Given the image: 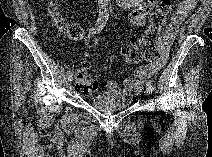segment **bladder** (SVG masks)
Segmentation results:
<instances>
[{
	"label": "bladder",
	"instance_id": "bladder-1",
	"mask_svg": "<svg viewBox=\"0 0 212 157\" xmlns=\"http://www.w3.org/2000/svg\"><path fill=\"white\" fill-rule=\"evenodd\" d=\"M133 101V95L121 89H107L91 96L90 103L98 111L109 112L125 109Z\"/></svg>",
	"mask_w": 212,
	"mask_h": 157
}]
</instances>
